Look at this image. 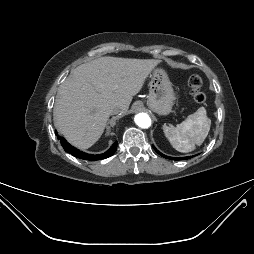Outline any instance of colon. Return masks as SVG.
<instances>
[{
    "instance_id": "obj_1",
    "label": "colon",
    "mask_w": 254,
    "mask_h": 254,
    "mask_svg": "<svg viewBox=\"0 0 254 254\" xmlns=\"http://www.w3.org/2000/svg\"><path fill=\"white\" fill-rule=\"evenodd\" d=\"M202 87V79L199 75H192L188 79V88L193 100L198 103L202 104L206 100L205 94L201 90Z\"/></svg>"
}]
</instances>
